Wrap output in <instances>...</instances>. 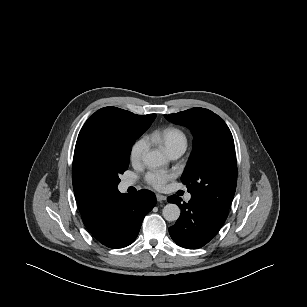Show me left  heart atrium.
<instances>
[{
  "mask_svg": "<svg viewBox=\"0 0 307 307\" xmlns=\"http://www.w3.org/2000/svg\"><path fill=\"white\" fill-rule=\"evenodd\" d=\"M173 177L172 173L163 170H152L146 175L147 182L156 189H163Z\"/></svg>",
  "mask_w": 307,
  "mask_h": 307,
  "instance_id": "1",
  "label": "left heart atrium"
}]
</instances>
